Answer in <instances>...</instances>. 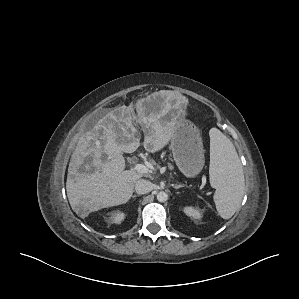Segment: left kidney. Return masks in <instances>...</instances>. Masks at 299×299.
<instances>
[{"instance_id": "5707ae66", "label": "left kidney", "mask_w": 299, "mask_h": 299, "mask_svg": "<svg viewBox=\"0 0 299 299\" xmlns=\"http://www.w3.org/2000/svg\"><path fill=\"white\" fill-rule=\"evenodd\" d=\"M183 211L187 216L193 217L195 219H200L202 217V214L197 207L187 206Z\"/></svg>"}]
</instances>
